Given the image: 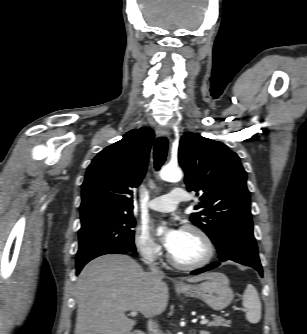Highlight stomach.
Wrapping results in <instances>:
<instances>
[{
	"instance_id": "obj_1",
	"label": "stomach",
	"mask_w": 307,
	"mask_h": 334,
	"mask_svg": "<svg viewBox=\"0 0 307 334\" xmlns=\"http://www.w3.org/2000/svg\"><path fill=\"white\" fill-rule=\"evenodd\" d=\"M212 274L209 279L200 284L180 287L179 292L187 297L200 299L213 310L220 311L231 304L234 293L224 274Z\"/></svg>"
}]
</instances>
